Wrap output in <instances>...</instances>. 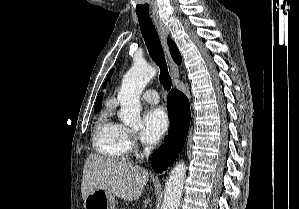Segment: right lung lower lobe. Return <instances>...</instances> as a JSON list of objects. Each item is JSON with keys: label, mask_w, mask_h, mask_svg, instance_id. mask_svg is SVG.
Masks as SVG:
<instances>
[{"label": "right lung lower lobe", "mask_w": 299, "mask_h": 209, "mask_svg": "<svg viewBox=\"0 0 299 209\" xmlns=\"http://www.w3.org/2000/svg\"><path fill=\"white\" fill-rule=\"evenodd\" d=\"M169 135L165 145L152 155V165L156 172L171 165L181 152L190 124V106L187 97L177 89L168 94Z\"/></svg>", "instance_id": "1"}]
</instances>
